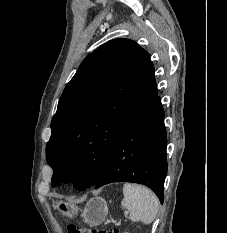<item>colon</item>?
I'll return each instance as SVG.
<instances>
[{
  "label": "colon",
  "mask_w": 227,
  "mask_h": 233,
  "mask_svg": "<svg viewBox=\"0 0 227 233\" xmlns=\"http://www.w3.org/2000/svg\"><path fill=\"white\" fill-rule=\"evenodd\" d=\"M68 233H119V231L116 229L80 228L71 225L68 228Z\"/></svg>",
  "instance_id": "5ec220e1"
}]
</instances>
